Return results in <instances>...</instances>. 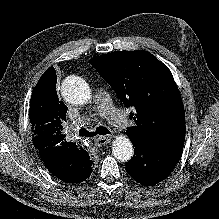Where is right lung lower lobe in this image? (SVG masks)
Segmentation results:
<instances>
[{
    "label": "right lung lower lobe",
    "mask_w": 219,
    "mask_h": 219,
    "mask_svg": "<svg viewBox=\"0 0 219 219\" xmlns=\"http://www.w3.org/2000/svg\"><path fill=\"white\" fill-rule=\"evenodd\" d=\"M63 153H66L67 158L74 161V163L71 165L74 169L73 176L70 181H67V183H78L86 178H88L92 172V162L89 159L84 158L83 153H79L76 149H70L68 151H62ZM54 176L55 174L50 171ZM57 177V176H56ZM59 178V177H57ZM60 180L64 181L62 178H59ZM66 182V180L64 181Z\"/></svg>",
    "instance_id": "98d812e1"
}]
</instances>
